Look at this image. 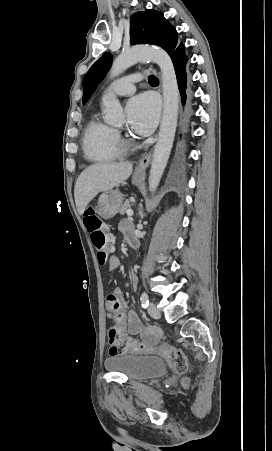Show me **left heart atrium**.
Here are the masks:
<instances>
[{
    "label": "left heart atrium",
    "mask_w": 272,
    "mask_h": 451,
    "mask_svg": "<svg viewBox=\"0 0 272 451\" xmlns=\"http://www.w3.org/2000/svg\"><path fill=\"white\" fill-rule=\"evenodd\" d=\"M126 112L130 130L138 135L146 136L156 126L159 104L152 95L143 94L128 102Z\"/></svg>",
    "instance_id": "39dd6f15"
}]
</instances>
